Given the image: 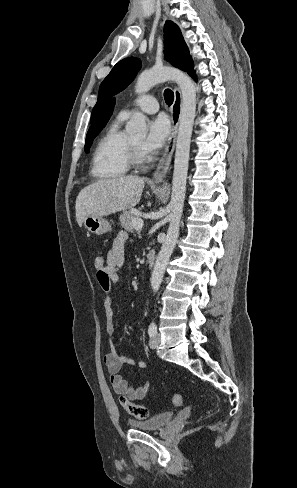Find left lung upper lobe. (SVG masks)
<instances>
[{
    "label": "left lung upper lobe",
    "instance_id": "obj_1",
    "mask_svg": "<svg viewBox=\"0 0 297 488\" xmlns=\"http://www.w3.org/2000/svg\"><path fill=\"white\" fill-rule=\"evenodd\" d=\"M165 59L175 67L195 75L193 61L184 42L180 29L176 24L167 21L164 27ZM141 68V61L129 57L119 61L103 80L99 88L98 100L93 108L91 121L98 114L108 99L125 89L135 78Z\"/></svg>",
    "mask_w": 297,
    "mask_h": 488
}]
</instances>
